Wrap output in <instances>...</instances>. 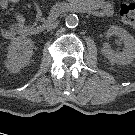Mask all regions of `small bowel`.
I'll list each match as a JSON object with an SVG mask.
<instances>
[{
	"label": "small bowel",
	"mask_w": 135,
	"mask_h": 135,
	"mask_svg": "<svg viewBox=\"0 0 135 135\" xmlns=\"http://www.w3.org/2000/svg\"><path fill=\"white\" fill-rule=\"evenodd\" d=\"M20 0H0V7L8 8L11 4ZM90 12L97 16H111L113 14V5L110 0H85ZM25 19L21 15H16L15 23L8 28H1L0 32L3 37L10 39L17 34L26 33Z\"/></svg>",
	"instance_id": "small-bowel-1"
}]
</instances>
